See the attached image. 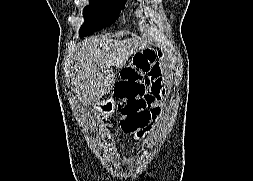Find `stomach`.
Segmentation results:
<instances>
[{
	"mask_svg": "<svg viewBox=\"0 0 253 181\" xmlns=\"http://www.w3.org/2000/svg\"><path fill=\"white\" fill-rule=\"evenodd\" d=\"M111 101L107 100L102 103L96 104V109L102 113L105 117H108L113 112V107L110 105Z\"/></svg>",
	"mask_w": 253,
	"mask_h": 181,
	"instance_id": "1",
	"label": "stomach"
}]
</instances>
